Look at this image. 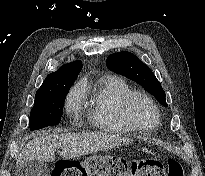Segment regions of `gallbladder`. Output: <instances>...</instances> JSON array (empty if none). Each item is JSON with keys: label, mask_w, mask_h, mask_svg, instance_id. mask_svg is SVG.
I'll return each mask as SVG.
<instances>
[{"label": "gallbladder", "mask_w": 205, "mask_h": 176, "mask_svg": "<svg viewBox=\"0 0 205 176\" xmlns=\"http://www.w3.org/2000/svg\"><path fill=\"white\" fill-rule=\"evenodd\" d=\"M50 169L43 162L31 161L16 168V176H49Z\"/></svg>", "instance_id": "1"}]
</instances>
